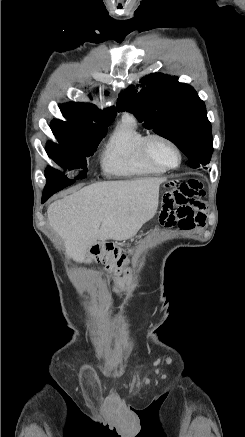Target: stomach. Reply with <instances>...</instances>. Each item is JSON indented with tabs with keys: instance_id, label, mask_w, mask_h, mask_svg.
Here are the masks:
<instances>
[{
	"instance_id": "obj_1",
	"label": "stomach",
	"mask_w": 245,
	"mask_h": 437,
	"mask_svg": "<svg viewBox=\"0 0 245 437\" xmlns=\"http://www.w3.org/2000/svg\"><path fill=\"white\" fill-rule=\"evenodd\" d=\"M176 182H177L176 179L165 180V181L162 183L161 188H162L163 191H166V190H168L169 188H172L173 185H176Z\"/></svg>"
}]
</instances>
